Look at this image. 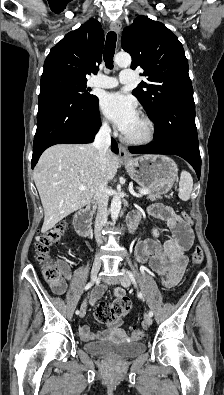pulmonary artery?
Here are the masks:
<instances>
[{
    "label": "pulmonary artery",
    "instance_id": "obj_1",
    "mask_svg": "<svg viewBox=\"0 0 224 395\" xmlns=\"http://www.w3.org/2000/svg\"><path fill=\"white\" fill-rule=\"evenodd\" d=\"M133 81H134L133 71L130 69H125L121 71L119 78L99 75L91 81L90 85L92 87H98V88H114L119 83L127 84Z\"/></svg>",
    "mask_w": 224,
    "mask_h": 395
}]
</instances>
